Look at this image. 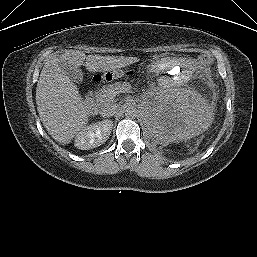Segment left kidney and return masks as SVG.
Instances as JSON below:
<instances>
[{"instance_id": "1", "label": "left kidney", "mask_w": 257, "mask_h": 257, "mask_svg": "<svg viewBox=\"0 0 257 257\" xmlns=\"http://www.w3.org/2000/svg\"><path fill=\"white\" fill-rule=\"evenodd\" d=\"M143 118L150 135L164 144L203 133L210 120L201 96L185 89L159 92L150 97L144 104Z\"/></svg>"}]
</instances>
